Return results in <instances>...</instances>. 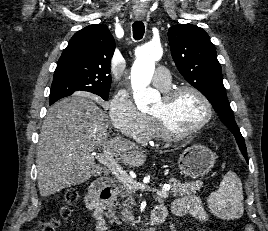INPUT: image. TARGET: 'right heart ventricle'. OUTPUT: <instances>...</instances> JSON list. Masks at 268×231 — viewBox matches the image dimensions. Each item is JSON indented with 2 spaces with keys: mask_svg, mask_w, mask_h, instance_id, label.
<instances>
[{
  "mask_svg": "<svg viewBox=\"0 0 268 231\" xmlns=\"http://www.w3.org/2000/svg\"><path fill=\"white\" fill-rule=\"evenodd\" d=\"M167 90L168 88L163 91ZM150 127H151V138H150L151 141L153 139H163L153 119H150Z\"/></svg>",
  "mask_w": 268,
  "mask_h": 231,
  "instance_id": "1",
  "label": "right heart ventricle"
}]
</instances>
